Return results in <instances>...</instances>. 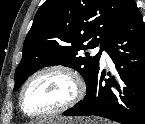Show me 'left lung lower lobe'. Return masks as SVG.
Wrapping results in <instances>:
<instances>
[{
  "mask_svg": "<svg viewBox=\"0 0 145 124\" xmlns=\"http://www.w3.org/2000/svg\"><path fill=\"white\" fill-rule=\"evenodd\" d=\"M126 87L117 97L114 79L98 71L84 99L66 110L65 116L95 115L121 124H144L145 119V27L135 4L119 32L106 47ZM123 94V95H122Z\"/></svg>",
  "mask_w": 145,
  "mask_h": 124,
  "instance_id": "1",
  "label": "left lung lower lobe"
}]
</instances>
